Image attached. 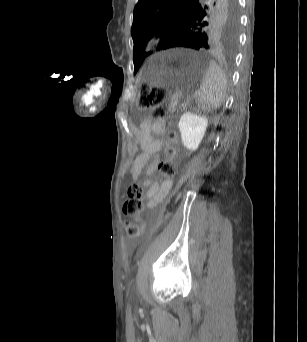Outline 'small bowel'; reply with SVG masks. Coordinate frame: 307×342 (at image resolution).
<instances>
[{
    "mask_svg": "<svg viewBox=\"0 0 307 342\" xmlns=\"http://www.w3.org/2000/svg\"><path fill=\"white\" fill-rule=\"evenodd\" d=\"M138 138L142 153L135 158L131 167V175L134 181L139 180L142 171L147 176H152L155 173L160 154L168 146L164 125L158 120L145 119L140 126ZM152 158L154 160L150 162ZM169 185V181H165L162 185L156 182L149 188L146 193L148 208H154L164 199Z\"/></svg>",
    "mask_w": 307,
    "mask_h": 342,
    "instance_id": "1",
    "label": "small bowel"
}]
</instances>
